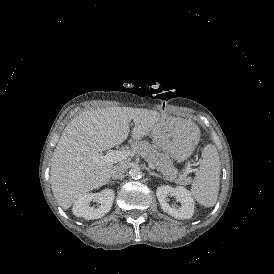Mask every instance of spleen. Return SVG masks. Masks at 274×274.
I'll list each match as a JSON object with an SVG mask.
<instances>
[{"label": "spleen", "mask_w": 274, "mask_h": 274, "mask_svg": "<svg viewBox=\"0 0 274 274\" xmlns=\"http://www.w3.org/2000/svg\"><path fill=\"white\" fill-rule=\"evenodd\" d=\"M199 139V135H198ZM221 162L216 147L212 144L204 147L200 167L193 180L190 194L201 205H215L219 193Z\"/></svg>", "instance_id": "obj_1"}]
</instances>
